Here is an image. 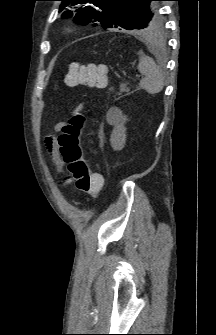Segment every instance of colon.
Returning <instances> with one entry per match:
<instances>
[{
  "label": "colon",
  "instance_id": "5ec220e1",
  "mask_svg": "<svg viewBox=\"0 0 216 335\" xmlns=\"http://www.w3.org/2000/svg\"><path fill=\"white\" fill-rule=\"evenodd\" d=\"M107 68L103 64L81 65L72 62L68 66L66 81L72 86H89L104 88L108 86ZM86 123V116L75 114L62 127L58 136L59 152L75 180L77 188L91 196L97 197L103 187V177L93 173L86 160L80 144V136Z\"/></svg>",
  "mask_w": 216,
  "mask_h": 335
}]
</instances>
